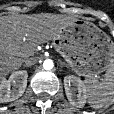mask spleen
<instances>
[{
	"instance_id": "obj_1",
	"label": "spleen",
	"mask_w": 114,
	"mask_h": 114,
	"mask_svg": "<svg viewBox=\"0 0 114 114\" xmlns=\"http://www.w3.org/2000/svg\"><path fill=\"white\" fill-rule=\"evenodd\" d=\"M104 78L101 83L91 79L84 81L87 102L93 109L107 107L114 96V66L106 71Z\"/></svg>"
}]
</instances>
